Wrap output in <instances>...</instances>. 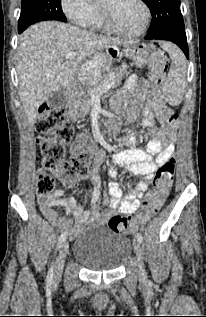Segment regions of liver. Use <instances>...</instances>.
Returning a JSON list of instances; mask_svg holds the SVG:
<instances>
[{
	"mask_svg": "<svg viewBox=\"0 0 206 317\" xmlns=\"http://www.w3.org/2000/svg\"><path fill=\"white\" fill-rule=\"evenodd\" d=\"M134 43L95 34L57 21L35 24L19 37L17 74L19 95L30 124H34L39 107L56 91L71 87L85 63L101 60L99 51L112 45ZM68 52L76 56L65 60Z\"/></svg>",
	"mask_w": 206,
	"mask_h": 317,
	"instance_id": "1",
	"label": "liver"
}]
</instances>
